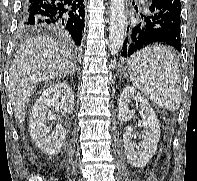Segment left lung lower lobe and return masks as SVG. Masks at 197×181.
<instances>
[{"mask_svg": "<svg viewBox=\"0 0 197 181\" xmlns=\"http://www.w3.org/2000/svg\"><path fill=\"white\" fill-rule=\"evenodd\" d=\"M180 0H151L142 21L127 28L121 57L127 58L153 43H163L181 50Z\"/></svg>", "mask_w": 197, "mask_h": 181, "instance_id": "0a47b994", "label": "left lung lower lobe"}]
</instances>
